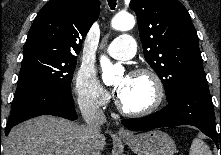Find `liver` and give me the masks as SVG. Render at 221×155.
Returning a JSON list of instances; mask_svg holds the SVG:
<instances>
[{"mask_svg":"<svg viewBox=\"0 0 221 155\" xmlns=\"http://www.w3.org/2000/svg\"><path fill=\"white\" fill-rule=\"evenodd\" d=\"M84 141V125L53 116H39L12 128L4 140L3 155H82ZM105 143V136L98 134V154Z\"/></svg>","mask_w":221,"mask_h":155,"instance_id":"1","label":"liver"}]
</instances>
